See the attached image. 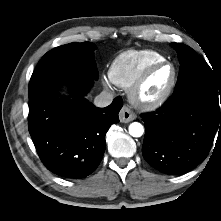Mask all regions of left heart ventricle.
Masks as SVG:
<instances>
[{
    "instance_id": "obj_1",
    "label": "left heart ventricle",
    "mask_w": 221,
    "mask_h": 221,
    "mask_svg": "<svg viewBox=\"0 0 221 221\" xmlns=\"http://www.w3.org/2000/svg\"><path fill=\"white\" fill-rule=\"evenodd\" d=\"M172 76L170 66H163L155 70L144 85L141 96L145 100L157 97L167 87Z\"/></svg>"
}]
</instances>
